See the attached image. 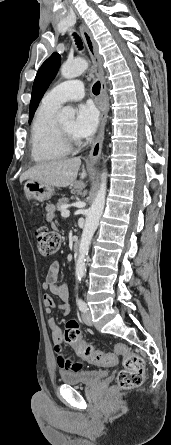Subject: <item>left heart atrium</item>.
Segmentation results:
<instances>
[{
	"label": "left heart atrium",
	"mask_w": 171,
	"mask_h": 445,
	"mask_svg": "<svg viewBox=\"0 0 171 445\" xmlns=\"http://www.w3.org/2000/svg\"><path fill=\"white\" fill-rule=\"evenodd\" d=\"M99 112L92 103L81 104L77 108L73 132L78 138L92 135L98 125Z\"/></svg>",
	"instance_id": "39dd6f15"
}]
</instances>
